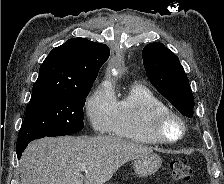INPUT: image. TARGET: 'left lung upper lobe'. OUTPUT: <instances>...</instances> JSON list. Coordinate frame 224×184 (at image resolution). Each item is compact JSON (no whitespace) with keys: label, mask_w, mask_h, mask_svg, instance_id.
Masks as SVG:
<instances>
[{"label":"left lung upper lobe","mask_w":224,"mask_h":184,"mask_svg":"<svg viewBox=\"0 0 224 184\" xmlns=\"http://www.w3.org/2000/svg\"><path fill=\"white\" fill-rule=\"evenodd\" d=\"M143 64L152 85L179 112L191 118L194 99L187 75L178 57L162 43H150L143 49Z\"/></svg>","instance_id":"5c2ea615"}]
</instances>
